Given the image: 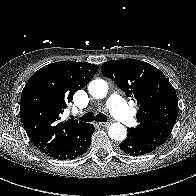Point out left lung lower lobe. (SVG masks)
<instances>
[{"mask_svg": "<svg viewBox=\"0 0 196 196\" xmlns=\"http://www.w3.org/2000/svg\"><path fill=\"white\" fill-rule=\"evenodd\" d=\"M120 149L131 155L140 156L154 151L157 147L140 141L138 138L127 134L126 139L119 144Z\"/></svg>", "mask_w": 196, "mask_h": 196, "instance_id": "0a47b994", "label": "left lung lower lobe"}]
</instances>
